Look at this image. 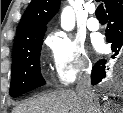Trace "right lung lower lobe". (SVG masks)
I'll return each instance as SVG.
<instances>
[{"instance_id":"obj_1","label":"right lung lower lobe","mask_w":123,"mask_h":113,"mask_svg":"<svg viewBox=\"0 0 123 113\" xmlns=\"http://www.w3.org/2000/svg\"><path fill=\"white\" fill-rule=\"evenodd\" d=\"M106 10L109 15L106 38L116 56L123 45V0H111ZM105 64L106 60H99L93 67L91 75L93 85L105 78Z\"/></svg>"}]
</instances>
